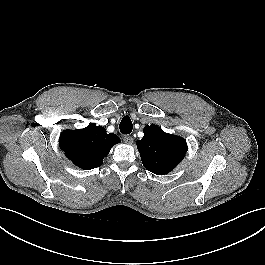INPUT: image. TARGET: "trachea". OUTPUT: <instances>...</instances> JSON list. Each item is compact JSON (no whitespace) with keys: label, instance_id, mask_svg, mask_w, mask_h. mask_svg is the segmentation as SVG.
Returning <instances> with one entry per match:
<instances>
[{"label":"trachea","instance_id":"3493384b","mask_svg":"<svg viewBox=\"0 0 265 265\" xmlns=\"http://www.w3.org/2000/svg\"><path fill=\"white\" fill-rule=\"evenodd\" d=\"M119 128H120V132L122 134H130L132 132V121L131 119L129 118V116H125L121 122H120V125H119Z\"/></svg>","mask_w":265,"mask_h":265}]
</instances>
